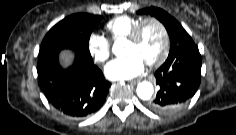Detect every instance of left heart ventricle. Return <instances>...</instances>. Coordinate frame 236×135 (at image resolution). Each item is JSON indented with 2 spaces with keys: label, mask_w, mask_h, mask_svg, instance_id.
Returning a JSON list of instances; mask_svg holds the SVG:
<instances>
[{
  "label": "left heart ventricle",
  "mask_w": 236,
  "mask_h": 135,
  "mask_svg": "<svg viewBox=\"0 0 236 135\" xmlns=\"http://www.w3.org/2000/svg\"><path fill=\"white\" fill-rule=\"evenodd\" d=\"M162 46L163 35L161 30L155 23L148 22L144 26L137 43L126 42L125 55L138 54L147 63L158 57Z\"/></svg>",
  "instance_id": "obj_1"
}]
</instances>
